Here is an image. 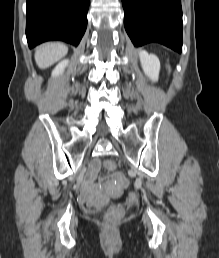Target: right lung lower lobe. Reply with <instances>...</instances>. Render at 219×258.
<instances>
[{"label": "right lung lower lobe", "instance_id": "1", "mask_svg": "<svg viewBox=\"0 0 219 258\" xmlns=\"http://www.w3.org/2000/svg\"><path fill=\"white\" fill-rule=\"evenodd\" d=\"M89 3L90 0H27L29 47L51 40L77 46L87 27Z\"/></svg>", "mask_w": 219, "mask_h": 258}]
</instances>
